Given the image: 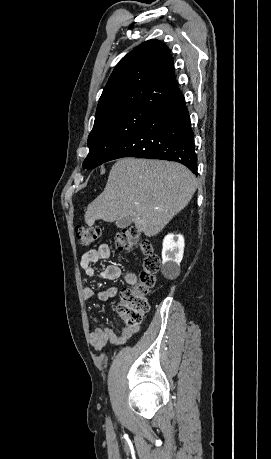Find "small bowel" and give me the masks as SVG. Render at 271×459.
Masks as SVG:
<instances>
[{"label": "small bowel", "mask_w": 271, "mask_h": 459, "mask_svg": "<svg viewBox=\"0 0 271 459\" xmlns=\"http://www.w3.org/2000/svg\"><path fill=\"white\" fill-rule=\"evenodd\" d=\"M111 255V249L107 244H101L96 249H91L85 252L80 260V266L85 273L90 276H99L106 280H117L122 275V269L116 264L105 266L101 271H96L94 264L101 260H106ZM125 281L130 285L137 283V275L134 272L127 271L125 273ZM118 289L115 286H110L105 290L96 293L92 288L85 287L83 289V297L86 300L98 298L101 301H107L117 296ZM139 331V326H122L121 334L118 336L110 327L95 328L90 333V343L97 351H103L106 348L107 342L110 341L115 345L124 344Z\"/></svg>", "instance_id": "c3829d8e"}]
</instances>
